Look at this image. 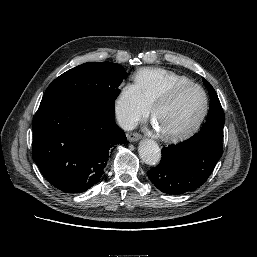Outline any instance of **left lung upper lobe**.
I'll use <instances>...</instances> for the list:
<instances>
[{
  "label": "left lung upper lobe",
  "instance_id": "left-lung-upper-lobe-1",
  "mask_svg": "<svg viewBox=\"0 0 257 257\" xmlns=\"http://www.w3.org/2000/svg\"><path fill=\"white\" fill-rule=\"evenodd\" d=\"M203 82L207 87L211 99V104L208 111V117L202 129L194 136L213 135L223 137V127L225 123L224 113L218 96L212 85L203 78Z\"/></svg>",
  "mask_w": 257,
  "mask_h": 257
}]
</instances>
